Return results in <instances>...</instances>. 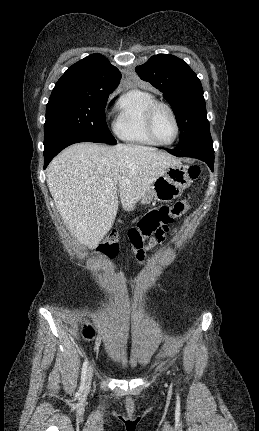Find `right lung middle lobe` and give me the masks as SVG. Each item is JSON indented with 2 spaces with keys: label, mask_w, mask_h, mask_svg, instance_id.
<instances>
[{
  "label": "right lung middle lobe",
  "mask_w": 259,
  "mask_h": 431,
  "mask_svg": "<svg viewBox=\"0 0 259 431\" xmlns=\"http://www.w3.org/2000/svg\"><path fill=\"white\" fill-rule=\"evenodd\" d=\"M108 93L56 91L46 106L44 145L61 136L79 135L93 142L117 144L105 120Z\"/></svg>",
  "instance_id": "obj_1"
}]
</instances>
